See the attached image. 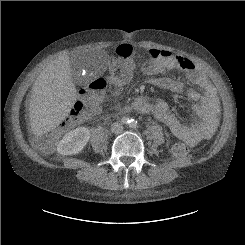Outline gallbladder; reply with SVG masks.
Instances as JSON below:
<instances>
[{"instance_id": "gallbladder-1", "label": "gallbladder", "mask_w": 245, "mask_h": 245, "mask_svg": "<svg viewBox=\"0 0 245 245\" xmlns=\"http://www.w3.org/2000/svg\"><path fill=\"white\" fill-rule=\"evenodd\" d=\"M70 63H71V69L73 70V81L76 84H80L82 83V81L79 80V74H80V64H79V60L77 57L71 58L70 59Z\"/></svg>"}]
</instances>
